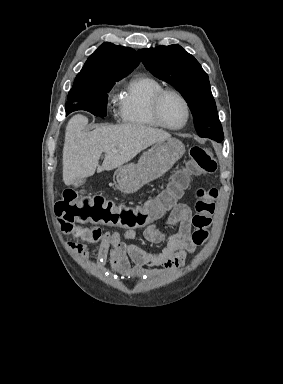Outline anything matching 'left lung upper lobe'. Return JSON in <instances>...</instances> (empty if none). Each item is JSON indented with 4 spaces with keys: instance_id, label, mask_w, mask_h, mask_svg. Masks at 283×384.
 Instances as JSON below:
<instances>
[{
    "instance_id": "obj_1",
    "label": "left lung upper lobe",
    "mask_w": 283,
    "mask_h": 384,
    "mask_svg": "<svg viewBox=\"0 0 283 384\" xmlns=\"http://www.w3.org/2000/svg\"><path fill=\"white\" fill-rule=\"evenodd\" d=\"M138 53L154 76L173 85L188 102L198 135L222 141L223 131L209 78L198 61L176 44L140 49Z\"/></svg>"
}]
</instances>
